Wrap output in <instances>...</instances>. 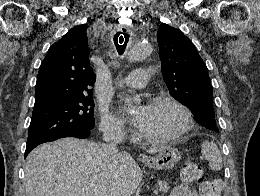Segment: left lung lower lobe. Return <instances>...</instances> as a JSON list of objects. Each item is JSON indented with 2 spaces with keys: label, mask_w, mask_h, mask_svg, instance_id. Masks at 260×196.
I'll return each mask as SVG.
<instances>
[{
  "label": "left lung lower lobe",
  "mask_w": 260,
  "mask_h": 196,
  "mask_svg": "<svg viewBox=\"0 0 260 196\" xmlns=\"http://www.w3.org/2000/svg\"><path fill=\"white\" fill-rule=\"evenodd\" d=\"M194 119L202 126H208L215 122L214 109L208 106L200 107L197 111L193 112Z\"/></svg>",
  "instance_id": "0a47b994"
}]
</instances>
